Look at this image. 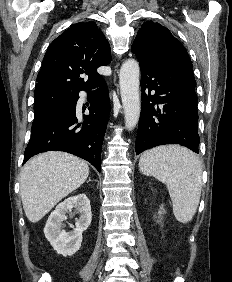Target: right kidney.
I'll use <instances>...</instances> for the list:
<instances>
[{
	"instance_id": "right-kidney-1",
	"label": "right kidney",
	"mask_w": 232,
	"mask_h": 282,
	"mask_svg": "<svg viewBox=\"0 0 232 282\" xmlns=\"http://www.w3.org/2000/svg\"><path fill=\"white\" fill-rule=\"evenodd\" d=\"M74 209L80 214L76 221V228L71 232L62 230V221L66 213ZM92 220L90 201L85 194L69 197L61 202L50 214L44 228V234L54 250L63 256H72L82 243V233Z\"/></svg>"
}]
</instances>
